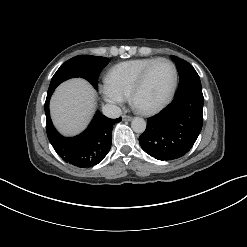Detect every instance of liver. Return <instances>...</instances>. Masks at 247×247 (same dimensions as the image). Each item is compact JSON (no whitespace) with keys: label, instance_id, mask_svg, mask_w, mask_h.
Instances as JSON below:
<instances>
[{"label":"liver","instance_id":"1","mask_svg":"<svg viewBox=\"0 0 247 247\" xmlns=\"http://www.w3.org/2000/svg\"><path fill=\"white\" fill-rule=\"evenodd\" d=\"M95 97L94 89L84 79L62 83L50 102L51 117L59 132L66 136L80 133L94 112Z\"/></svg>","mask_w":247,"mask_h":247}]
</instances>
